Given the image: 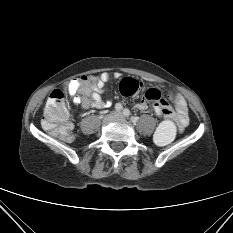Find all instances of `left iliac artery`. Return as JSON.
I'll return each mask as SVG.
<instances>
[{"label": "left iliac artery", "instance_id": "44dca946", "mask_svg": "<svg viewBox=\"0 0 233 233\" xmlns=\"http://www.w3.org/2000/svg\"><path fill=\"white\" fill-rule=\"evenodd\" d=\"M123 114H124L125 117H128L130 115L129 109H124Z\"/></svg>", "mask_w": 233, "mask_h": 233}]
</instances>
